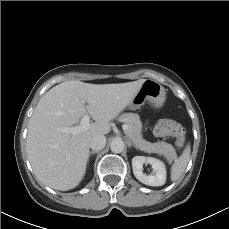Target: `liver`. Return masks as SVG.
Here are the masks:
<instances>
[{"label": "liver", "mask_w": 229, "mask_h": 229, "mask_svg": "<svg viewBox=\"0 0 229 229\" xmlns=\"http://www.w3.org/2000/svg\"><path fill=\"white\" fill-rule=\"evenodd\" d=\"M145 81L91 84L72 80L46 92L29 120L26 139L37 178L60 191L78 186L86 172L91 138L110 132V121L130 105ZM85 114L95 120L88 130L74 135L60 130L78 124Z\"/></svg>", "instance_id": "obj_1"}]
</instances>
